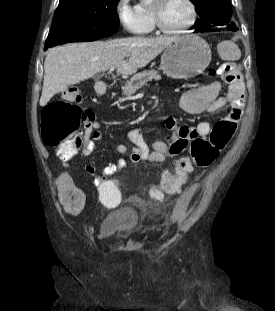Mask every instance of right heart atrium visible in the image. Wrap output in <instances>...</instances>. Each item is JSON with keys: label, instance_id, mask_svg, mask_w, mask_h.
<instances>
[{"label": "right heart atrium", "instance_id": "d8ad5b80", "mask_svg": "<svg viewBox=\"0 0 275 311\" xmlns=\"http://www.w3.org/2000/svg\"><path fill=\"white\" fill-rule=\"evenodd\" d=\"M115 14L121 27L131 34H142L147 28L145 17L131 0H117Z\"/></svg>", "mask_w": 275, "mask_h": 311}]
</instances>
